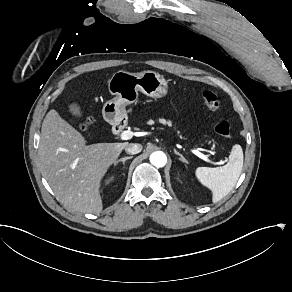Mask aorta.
Instances as JSON below:
<instances>
[{"instance_id": "762f6f07", "label": "aorta", "mask_w": 292, "mask_h": 292, "mask_svg": "<svg viewBox=\"0 0 292 292\" xmlns=\"http://www.w3.org/2000/svg\"><path fill=\"white\" fill-rule=\"evenodd\" d=\"M150 162L156 167H163L167 162V157L163 152L157 151L150 155Z\"/></svg>"}]
</instances>
